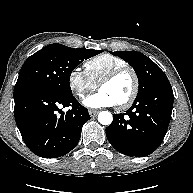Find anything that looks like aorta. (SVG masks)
Returning <instances> with one entry per match:
<instances>
[{"mask_svg":"<svg viewBox=\"0 0 193 193\" xmlns=\"http://www.w3.org/2000/svg\"><path fill=\"white\" fill-rule=\"evenodd\" d=\"M98 121L102 125H110L113 121V116L108 111H102L98 114Z\"/></svg>","mask_w":193,"mask_h":193,"instance_id":"obj_1","label":"aorta"}]
</instances>
